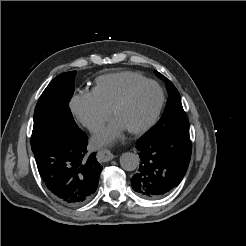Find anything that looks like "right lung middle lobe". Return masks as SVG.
<instances>
[{
  "label": "right lung middle lobe",
  "instance_id": "right-lung-middle-lobe-1",
  "mask_svg": "<svg viewBox=\"0 0 246 246\" xmlns=\"http://www.w3.org/2000/svg\"><path fill=\"white\" fill-rule=\"evenodd\" d=\"M76 71L55 77L40 96L35 111L31 148L59 131H72L76 127L69 102L74 93Z\"/></svg>",
  "mask_w": 246,
  "mask_h": 246
}]
</instances>
